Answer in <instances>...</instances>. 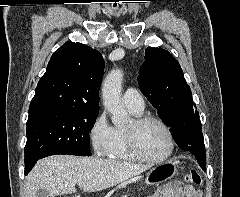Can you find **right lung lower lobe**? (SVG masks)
Masks as SVG:
<instances>
[{
	"mask_svg": "<svg viewBox=\"0 0 240 197\" xmlns=\"http://www.w3.org/2000/svg\"><path fill=\"white\" fill-rule=\"evenodd\" d=\"M34 165H30V166H25V174H28V172L31 170V168L33 167Z\"/></svg>",
	"mask_w": 240,
	"mask_h": 197,
	"instance_id": "98d812e1",
	"label": "right lung lower lobe"
}]
</instances>
